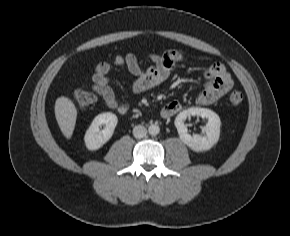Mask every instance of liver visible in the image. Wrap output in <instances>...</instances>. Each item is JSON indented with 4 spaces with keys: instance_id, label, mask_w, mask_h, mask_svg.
<instances>
[{
    "instance_id": "6515ba94",
    "label": "liver",
    "mask_w": 290,
    "mask_h": 236,
    "mask_svg": "<svg viewBox=\"0 0 290 236\" xmlns=\"http://www.w3.org/2000/svg\"><path fill=\"white\" fill-rule=\"evenodd\" d=\"M55 117L63 135L70 139L76 123L77 109L67 97H59L55 102Z\"/></svg>"
}]
</instances>
